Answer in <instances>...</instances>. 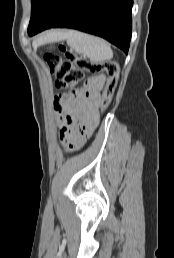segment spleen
Listing matches in <instances>:
<instances>
[{
    "label": "spleen",
    "mask_w": 174,
    "mask_h": 258,
    "mask_svg": "<svg viewBox=\"0 0 174 258\" xmlns=\"http://www.w3.org/2000/svg\"><path fill=\"white\" fill-rule=\"evenodd\" d=\"M59 35L50 39L63 38L76 52L86 55L91 61L99 62L113 57L110 45L103 39L75 30L54 32Z\"/></svg>",
    "instance_id": "3e777b00"
}]
</instances>
